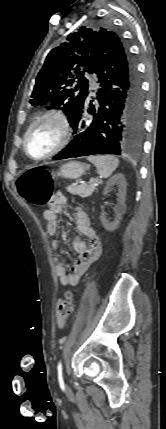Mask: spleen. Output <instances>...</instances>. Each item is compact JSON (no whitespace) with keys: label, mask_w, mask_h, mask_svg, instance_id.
Masks as SVG:
<instances>
[{"label":"spleen","mask_w":166,"mask_h":429,"mask_svg":"<svg viewBox=\"0 0 166 429\" xmlns=\"http://www.w3.org/2000/svg\"><path fill=\"white\" fill-rule=\"evenodd\" d=\"M87 160L93 163L101 177H109L118 167L119 159L112 155L88 156Z\"/></svg>","instance_id":"1"}]
</instances>
